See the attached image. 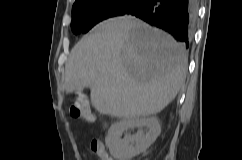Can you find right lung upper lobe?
<instances>
[{
    "label": "right lung upper lobe",
    "mask_w": 242,
    "mask_h": 160,
    "mask_svg": "<svg viewBox=\"0 0 242 160\" xmlns=\"http://www.w3.org/2000/svg\"><path fill=\"white\" fill-rule=\"evenodd\" d=\"M80 1H82V0H76L74 4H76V3L80 2Z\"/></svg>",
    "instance_id": "obj_1"
}]
</instances>
